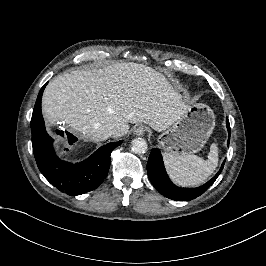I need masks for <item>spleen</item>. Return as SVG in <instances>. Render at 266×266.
Returning a JSON list of instances; mask_svg holds the SVG:
<instances>
[{"mask_svg": "<svg viewBox=\"0 0 266 266\" xmlns=\"http://www.w3.org/2000/svg\"><path fill=\"white\" fill-rule=\"evenodd\" d=\"M164 164L171 180L180 186H197L205 182V180L215 171L218 166V146L212 143L208 160L189 154V155H173L171 153H163Z\"/></svg>", "mask_w": 266, "mask_h": 266, "instance_id": "obj_1", "label": "spleen"}]
</instances>
